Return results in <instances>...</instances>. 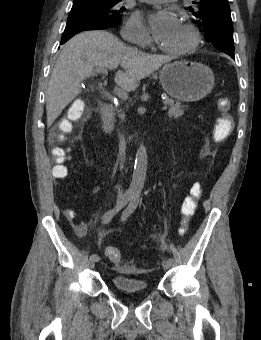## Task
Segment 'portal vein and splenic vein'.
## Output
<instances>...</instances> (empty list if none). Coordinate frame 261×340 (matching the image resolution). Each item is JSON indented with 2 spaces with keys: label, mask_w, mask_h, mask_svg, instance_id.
<instances>
[{
  "label": "portal vein and splenic vein",
  "mask_w": 261,
  "mask_h": 340,
  "mask_svg": "<svg viewBox=\"0 0 261 340\" xmlns=\"http://www.w3.org/2000/svg\"><path fill=\"white\" fill-rule=\"evenodd\" d=\"M97 71L101 72V73L104 74V75H107V74H108V67H106V66H101V67H99V68L97 69ZM115 93H116V95H117L119 98H121L122 100H127V98H128L127 93H126L125 91L121 90V89L116 88V89H115ZM162 110H163V111L167 110V105H164V106L162 107Z\"/></svg>",
  "instance_id": "portal-vein-and-splenic-vein-1"
}]
</instances>
